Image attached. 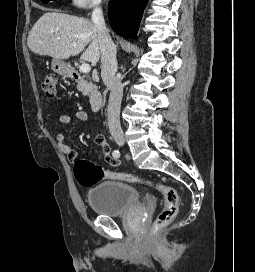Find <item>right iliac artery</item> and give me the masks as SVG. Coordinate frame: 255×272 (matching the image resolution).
I'll list each match as a JSON object with an SVG mask.
<instances>
[{
	"label": "right iliac artery",
	"instance_id": "right-iliac-artery-1",
	"mask_svg": "<svg viewBox=\"0 0 255 272\" xmlns=\"http://www.w3.org/2000/svg\"><path fill=\"white\" fill-rule=\"evenodd\" d=\"M114 158H119L120 157V152L118 150H114L112 153Z\"/></svg>",
	"mask_w": 255,
	"mask_h": 272
}]
</instances>
